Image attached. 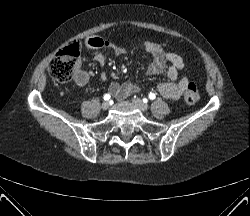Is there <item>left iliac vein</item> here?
I'll return each instance as SVG.
<instances>
[{
    "mask_svg": "<svg viewBox=\"0 0 250 216\" xmlns=\"http://www.w3.org/2000/svg\"><path fill=\"white\" fill-rule=\"evenodd\" d=\"M132 102L140 111L145 112L148 110V105L142 100L138 98H133Z\"/></svg>",
    "mask_w": 250,
    "mask_h": 216,
    "instance_id": "4c4485c4",
    "label": "left iliac vein"
}]
</instances>
